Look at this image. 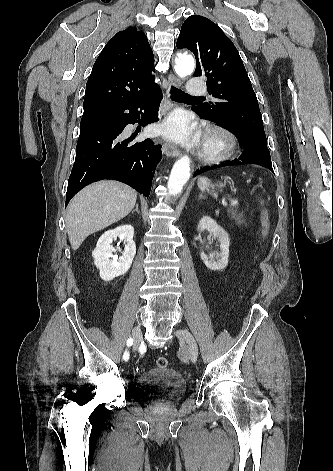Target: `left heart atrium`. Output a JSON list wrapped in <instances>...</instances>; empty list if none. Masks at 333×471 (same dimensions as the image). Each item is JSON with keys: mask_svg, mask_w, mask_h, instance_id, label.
Masks as SVG:
<instances>
[{"mask_svg": "<svg viewBox=\"0 0 333 471\" xmlns=\"http://www.w3.org/2000/svg\"><path fill=\"white\" fill-rule=\"evenodd\" d=\"M168 137L186 145H195L199 142V134L189 123L184 114L171 116L162 128Z\"/></svg>", "mask_w": 333, "mask_h": 471, "instance_id": "1", "label": "left heart atrium"}]
</instances>
